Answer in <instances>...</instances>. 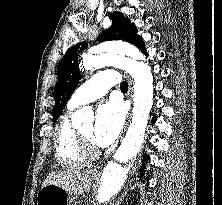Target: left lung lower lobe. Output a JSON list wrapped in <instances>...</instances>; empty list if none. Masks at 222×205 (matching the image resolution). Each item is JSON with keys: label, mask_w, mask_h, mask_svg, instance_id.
I'll use <instances>...</instances> for the list:
<instances>
[{"label": "left lung lower lobe", "mask_w": 222, "mask_h": 205, "mask_svg": "<svg viewBox=\"0 0 222 205\" xmlns=\"http://www.w3.org/2000/svg\"><path fill=\"white\" fill-rule=\"evenodd\" d=\"M139 49L145 54V55H147V53H146V51H145V45H144V43H142L141 45H140V47H139ZM156 122V116L154 115V117H153V120H152V123H155ZM147 160H148V155L146 154L145 156H144V159H143V164L145 165V162H147ZM144 168V167H143ZM142 168V169H143Z\"/></svg>", "instance_id": "0a47b994"}]
</instances>
